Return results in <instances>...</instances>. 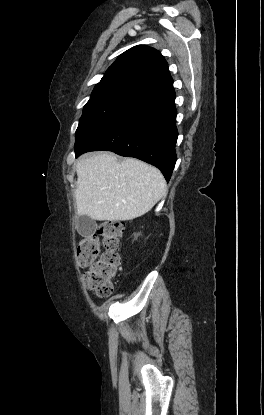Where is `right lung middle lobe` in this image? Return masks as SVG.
<instances>
[{
  "mask_svg": "<svg viewBox=\"0 0 264 415\" xmlns=\"http://www.w3.org/2000/svg\"><path fill=\"white\" fill-rule=\"evenodd\" d=\"M141 101L142 99L139 97L122 93L92 95L84 106L79 120L75 134V150L84 147L95 136Z\"/></svg>",
  "mask_w": 264,
  "mask_h": 415,
  "instance_id": "dd1d6c3e",
  "label": "right lung middle lobe"
}]
</instances>
